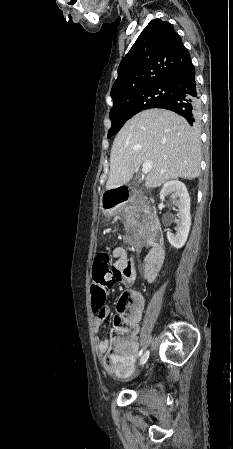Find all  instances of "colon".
Returning a JSON list of instances; mask_svg holds the SVG:
<instances>
[{"label":"colon","mask_w":233,"mask_h":449,"mask_svg":"<svg viewBox=\"0 0 233 449\" xmlns=\"http://www.w3.org/2000/svg\"><path fill=\"white\" fill-rule=\"evenodd\" d=\"M111 273L109 255L105 252L100 253L92 265L91 301L92 308L97 313L104 307L109 295L112 284ZM141 305L142 296L135 291L126 292L120 297L119 314L114 318L111 332L112 345L116 352L126 351L132 335L137 333ZM116 363V360L108 357L105 359V366L108 368H113Z\"/></svg>","instance_id":"5ec220e1"}]
</instances>
